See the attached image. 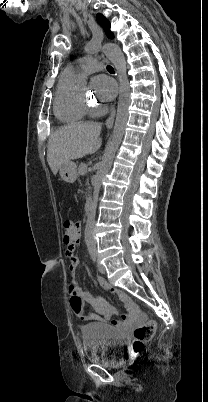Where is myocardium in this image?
<instances>
[{
    "mask_svg": "<svg viewBox=\"0 0 208 402\" xmlns=\"http://www.w3.org/2000/svg\"><path fill=\"white\" fill-rule=\"evenodd\" d=\"M78 100L86 109L91 108L94 102L89 99L84 92L78 91Z\"/></svg>",
    "mask_w": 208,
    "mask_h": 402,
    "instance_id": "myocardium-1",
    "label": "myocardium"
}]
</instances>
